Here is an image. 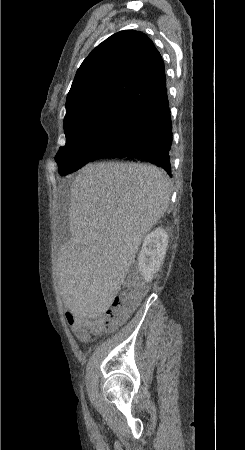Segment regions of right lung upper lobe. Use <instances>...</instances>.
<instances>
[{
  "instance_id": "right-lung-upper-lobe-1",
  "label": "right lung upper lobe",
  "mask_w": 245,
  "mask_h": 450,
  "mask_svg": "<svg viewBox=\"0 0 245 450\" xmlns=\"http://www.w3.org/2000/svg\"><path fill=\"white\" fill-rule=\"evenodd\" d=\"M166 91L163 60L139 31H120L83 61L66 99V116L87 106L113 103L139 110Z\"/></svg>"
}]
</instances>
